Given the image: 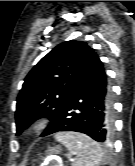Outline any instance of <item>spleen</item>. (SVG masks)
Here are the masks:
<instances>
[{
	"label": "spleen",
	"mask_w": 135,
	"mask_h": 166,
	"mask_svg": "<svg viewBox=\"0 0 135 166\" xmlns=\"http://www.w3.org/2000/svg\"><path fill=\"white\" fill-rule=\"evenodd\" d=\"M55 139L75 156L72 166H99L103 151L99 143L78 132L57 133Z\"/></svg>",
	"instance_id": "obj_1"
}]
</instances>
